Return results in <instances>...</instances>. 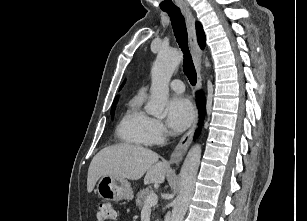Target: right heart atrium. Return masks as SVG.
<instances>
[{
  "label": "right heart atrium",
  "mask_w": 307,
  "mask_h": 221,
  "mask_svg": "<svg viewBox=\"0 0 307 221\" xmlns=\"http://www.w3.org/2000/svg\"><path fill=\"white\" fill-rule=\"evenodd\" d=\"M167 136L163 122L156 118L150 119V137L152 144H158L165 140Z\"/></svg>",
  "instance_id": "d8ad5b80"
}]
</instances>
